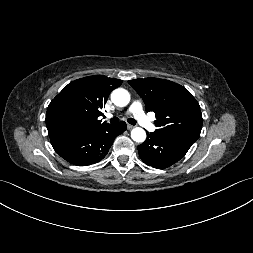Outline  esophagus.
Masks as SVG:
<instances>
[{
	"label": "esophagus",
	"mask_w": 253,
	"mask_h": 253,
	"mask_svg": "<svg viewBox=\"0 0 253 253\" xmlns=\"http://www.w3.org/2000/svg\"><path fill=\"white\" fill-rule=\"evenodd\" d=\"M134 127H135V126H134V125H131V124H128V125H127V129H128V130H132Z\"/></svg>",
	"instance_id": "1"
}]
</instances>
